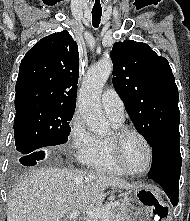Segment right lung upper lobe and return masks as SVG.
<instances>
[{"label":"right lung upper lobe","instance_id":"right-lung-upper-lobe-1","mask_svg":"<svg viewBox=\"0 0 190 221\" xmlns=\"http://www.w3.org/2000/svg\"><path fill=\"white\" fill-rule=\"evenodd\" d=\"M78 74V46L68 31L44 37L21 61L16 111L34 106L75 108Z\"/></svg>","mask_w":190,"mask_h":221}]
</instances>
